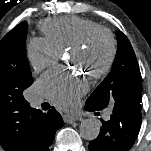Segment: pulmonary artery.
Returning a JSON list of instances; mask_svg holds the SVG:
<instances>
[{"instance_id": "e3ab8cb5", "label": "pulmonary artery", "mask_w": 151, "mask_h": 151, "mask_svg": "<svg viewBox=\"0 0 151 151\" xmlns=\"http://www.w3.org/2000/svg\"><path fill=\"white\" fill-rule=\"evenodd\" d=\"M42 101L39 99V98H36L35 99V103L36 104H40ZM110 116H111V110H106L105 111V113H104V118L106 119V120H108L109 118H110Z\"/></svg>"}]
</instances>
